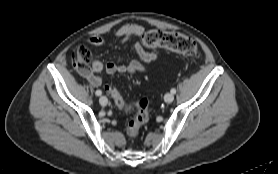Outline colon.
Instances as JSON below:
<instances>
[{
	"instance_id": "5ec220e1",
	"label": "colon",
	"mask_w": 278,
	"mask_h": 174,
	"mask_svg": "<svg viewBox=\"0 0 278 174\" xmlns=\"http://www.w3.org/2000/svg\"><path fill=\"white\" fill-rule=\"evenodd\" d=\"M142 42L150 48H165L193 59L199 58L197 43L190 37L170 31L150 30L144 33ZM76 66H89L91 55L85 46H78L75 51ZM117 107L127 112H134L133 119L127 125V135L135 139L138 137L141 128L149 121L148 102L146 99H139L134 104H128L123 99L119 90L113 86L106 87Z\"/></svg>"
}]
</instances>
